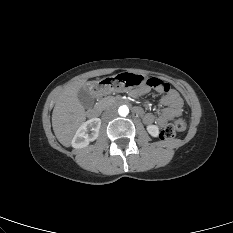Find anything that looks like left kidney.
I'll return each instance as SVG.
<instances>
[{
  "instance_id": "1",
  "label": "left kidney",
  "mask_w": 233,
  "mask_h": 233,
  "mask_svg": "<svg viewBox=\"0 0 233 233\" xmlns=\"http://www.w3.org/2000/svg\"><path fill=\"white\" fill-rule=\"evenodd\" d=\"M147 131L153 137H157L159 135V128L156 125H148Z\"/></svg>"
}]
</instances>
